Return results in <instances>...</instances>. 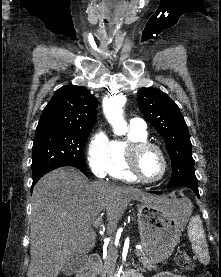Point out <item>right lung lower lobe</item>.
I'll return each instance as SVG.
<instances>
[{
  "label": "right lung lower lobe",
  "mask_w": 221,
  "mask_h": 277,
  "mask_svg": "<svg viewBox=\"0 0 221 277\" xmlns=\"http://www.w3.org/2000/svg\"><path fill=\"white\" fill-rule=\"evenodd\" d=\"M85 174V173H84ZM86 175V174H85ZM87 176V175H86ZM40 178L38 179H33V184H32V189H33V186L36 184V182L39 180Z\"/></svg>",
  "instance_id": "1"
}]
</instances>
